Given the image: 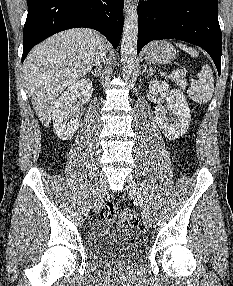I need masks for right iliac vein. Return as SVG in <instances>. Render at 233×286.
<instances>
[{
    "label": "right iliac vein",
    "instance_id": "1",
    "mask_svg": "<svg viewBox=\"0 0 233 286\" xmlns=\"http://www.w3.org/2000/svg\"><path fill=\"white\" fill-rule=\"evenodd\" d=\"M106 176L105 175H100L99 177V181H98V185L95 191V205L96 207H98L105 195V191H106Z\"/></svg>",
    "mask_w": 233,
    "mask_h": 286
}]
</instances>
